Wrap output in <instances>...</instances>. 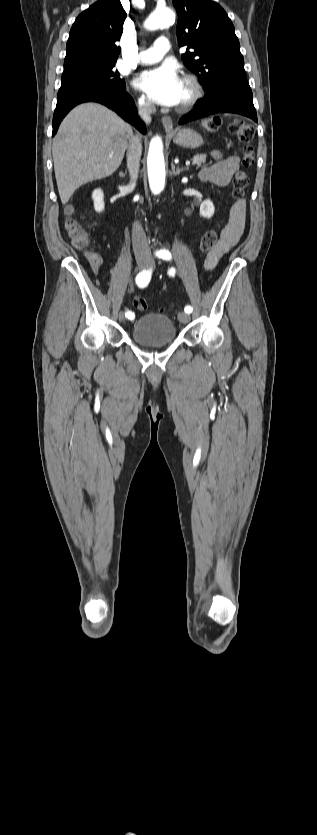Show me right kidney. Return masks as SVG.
Here are the masks:
<instances>
[{"label":"right kidney","mask_w":317,"mask_h":835,"mask_svg":"<svg viewBox=\"0 0 317 835\" xmlns=\"http://www.w3.org/2000/svg\"><path fill=\"white\" fill-rule=\"evenodd\" d=\"M92 198L94 200V207L97 212L104 210V194L101 189H96L93 192Z\"/></svg>","instance_id":"1"}]
</instances>
